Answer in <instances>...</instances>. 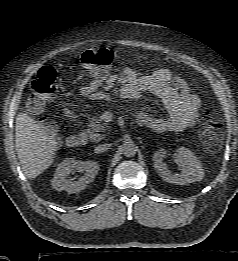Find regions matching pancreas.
Returning <instances> with one entry per match:
<instances>
[{
	"label": "pancreas",
	"mask_w": 238,
	"mask_h": 261,
	"mask_svg": "<svg viewBox=\"0 0 238 261\" xmlns=\"http://www.w3.org/2000/svg\"><path fill=\"white\" fill-rule=\"evenodd\" d=\"M107 127L108 124L103 123L101 117H92L85 131L92 141L98 142L104 138V135L99 132H106Z\"/></svg>",
	"instance_id": "cf45deb5"
}]
</instances>
